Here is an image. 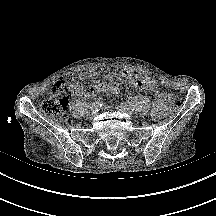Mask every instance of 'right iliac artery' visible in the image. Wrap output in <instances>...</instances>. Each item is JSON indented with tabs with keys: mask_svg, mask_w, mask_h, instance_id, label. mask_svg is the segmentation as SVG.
Returning a JSON list of instances; mask_svg holds the SVG:
<instances>
[{
	"mask_svg": "<svg viewBox=\"0 0 216 216\" xmlns=\"http://www.w3.org/2000/svg\"><path fill=\"white\" fill-rule=\"evenodd\" d=\"M103 104V99L102 98H98L92 105L91 109L95 110V111H99L100 107Z\"/></svg>",
	"mask_w": 216,
	"mask_h": 216,
	"instance_id": "right-iliac-artery-1",
	"label": "right iliac artery"
}]
</instances>
